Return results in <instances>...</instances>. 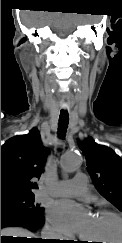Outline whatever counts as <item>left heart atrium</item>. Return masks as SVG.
I'll use <instances>...</instances> for the list:
<instances>
[{
	"label": "left heart atrium",
	"instance_id": "obj_1",
	"mask_svg": "<svg viewBox=\"0 0 122 243\" xmlns=\"http://www.w3.org/2000/svg\"><path fill=\"white\" fill-rule=\"evenodd\" d=\"M48 217L53 225L66 234H82L90 220L84 208L67 199L53 202L48 209Z\"/></svg>",
	"mask_w": 122,
	"mask_h": 243
}]
</instances>
